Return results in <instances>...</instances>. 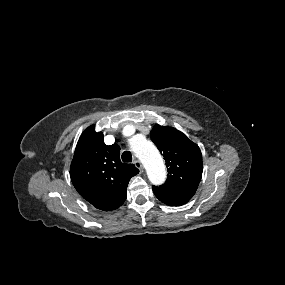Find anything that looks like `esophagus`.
<instances>
[{"label": "esophagus", "mask_w": 285, "mask_h": 285, "mask_svg": "<svg viewBox=\"0 0 285 285\" xmlns=\"http://www.w3.org/2000/svg\"><path fill=\"white\" fill-rule=\"evenodd\" d=\"M134 165L142 172L143 171V165L139 160L134 161Z\"/></svg>", "instance_id": "obj_1"}]
</instances>
